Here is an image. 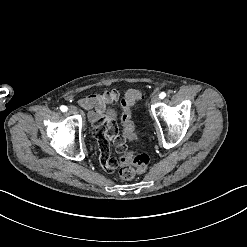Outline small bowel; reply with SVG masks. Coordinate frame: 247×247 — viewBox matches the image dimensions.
<instances>
[{
    "instance_id": "obj_1",
    "label": "small bowel",
    "mask_w": 247,
    "mask_h": 247,
    "mask_svg": "<svg viewBox=\"0 0 247 247\" xmlns=\"http://www.w3.org/2000/svg\"><path fill=\"white\" fill-rule=\"evenodd\" d=\"M120 97L118 90L113 89L103 94H92L82 98L79 101L81 108L90 110L88 113V119L94 124L97 133V148L100 151L101 162L106 173H111L115 167V162L111 160V153L109 150V142L106 133L104 123L108 124V135L115 145V151L117 153L126 152L129 146V140L123 135L117 133V117L113 114L105 115V112L113 113L115 106L111 103L116 102Z\"/></svg>"
}]
</instances>
